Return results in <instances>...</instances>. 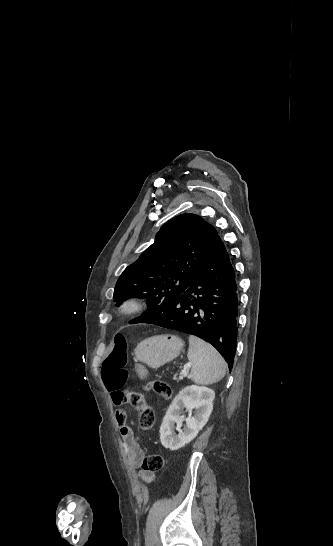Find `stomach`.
Returning <instances> with one entry per match:
<instances>
[{
  "label": "stomach",
  "instance_id": "1",
  "mask_svg": "<svg viewBox=\"0 0 333 546\" xmlns=\"http://www.w3.org/2000/svg\"><path fill=\"white\" fill-rule=\"evenodd\" d=\"M184 342L175 335L165 334L149 337L141 341L134 350L138 361L157 369L176 358L183 349Z\"/></svg>",
  "mask_w": 333,
  "mask_h": 546
}]
</instances>
